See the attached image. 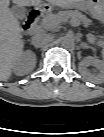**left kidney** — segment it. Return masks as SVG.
Here are the masks:
<instances>
[{"label": "left kidney", "instance_id": "1", "mask_svg": "<svg viewBox=\"0 0 104 137\" xmlns=\"http://www.w3.org/2000/svg\"><path fill=\"white\" fill-rule=\"evenodd\" d=\"M92 64L95 67H97L100 70V74L98 75L99 80H103V68H104V62L102 60H99L95 57L88 56L83 61L80 62L79 67L82 73L86 72V66Z\"/></svg>", "mask_w": 104, "mask_h": 137}]
</instances>
